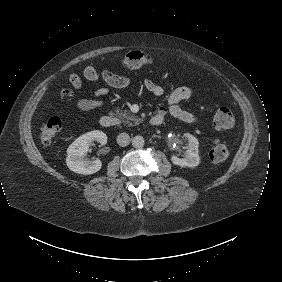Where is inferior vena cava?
Wrapping results in <instances>:
<instances>
[{
    "mask_svg": "<svg viewBox=\"0 0 282 282\" xmlns=\"http://www.w3.org/2000/svg\"><path fill=\"white\" fill-rule=\"evenodd\" d=\"M117 143L118 145L125 147L130 143V136L127 133H120L117 136Z\"/></svg>",
    "mask_w": 282,
    "mask_h": 282,
    "instance_id": "obj_1",
    "label": "inferior vena cava"
}]
</instances>
